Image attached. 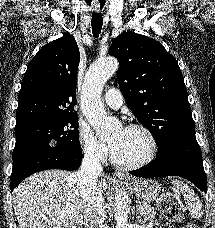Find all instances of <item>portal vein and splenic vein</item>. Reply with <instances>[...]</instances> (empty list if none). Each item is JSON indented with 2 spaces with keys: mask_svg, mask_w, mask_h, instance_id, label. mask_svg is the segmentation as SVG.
Instances as JSON below:
<instances>
[{
  "mask_svg": "<svg viewBox=\"0 0 215 228\" xmlns=\"http://www.w3.org/2000/svg\"><path fill=\"white\" fill-rule=\"evenodd\" d=\"M139 212H144L146 210L145 206H139L138 208Z\"/></svg>",
  "mask_w": 215,
  "mask_h": 228,
  "instance_id": "1",
  "label": "portal vein and splenic vein"
}]
</instances>
